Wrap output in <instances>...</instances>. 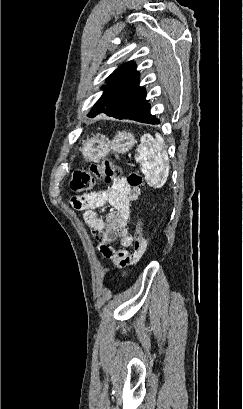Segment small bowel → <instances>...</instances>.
Returning a JSON list of instances; mask_svg holds the SVG:
<instances>
[{
	"label": "small bowel",
	"instance_id": "obj_1",
	"mask_svg": "<svg viewBox=\"0 0 243 409\" xmlns=\"http://www.w3.org/2000/svg\"><path fill=\"white\" fill-rule=\"evenodd\" d=\"M140 195L139 188H131L126 179H120L106 189L80 195L73 198L76 209L85 211L84 220L98 242V249L104 259L118 267L136 263L146 250L147 242L139 252L129 251L133 239L129 235L127 222L130 217L131 203ZM110 205L112 209L105 218L96 210ZM119 239L121 248H114L110 243Z\"/></svg>",
	"mask_w": 243,
	"mask_h": 409
}]
</instances>
